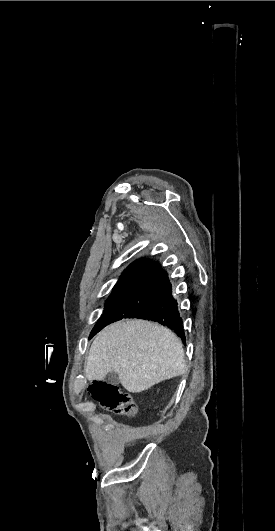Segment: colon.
Masks as SVG:
<instances>
[{
	"instance_id": "1",
	"label": "colon",
	"mask_w": 275,
	"mask_h": 531,
	"mask_svg": "<svg viewBox=\"0 0 275 531\" xmlns=\"http://www.w3.org/2000/svg\"><path fill=\"white\" fill-rule=\"evenodd\" d=\"M88 393L97 399L100 405L112 413L124 416L136 414V406L131 396L109 381H95L88 386Z\"/></svg>"
}]
</instances>
